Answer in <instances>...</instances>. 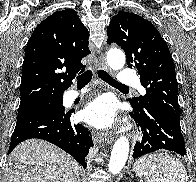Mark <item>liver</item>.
<instances>
[{
	"mask_svg": "<svg viewBox=\"0 0 196 182\" xmlns=\"http://www.w3.org/2000/svg\"><path fill=\"white\" fill-rule=\"evenodd\" d=\"M79 166L69 154L40 139L20 143L8 157L6 182H77Z\"/></svg>",
	"mask_w": 196,
	"mask_h": 182,
	"instance_id": "6515ba94",
	"label": "liver"
}]
</instances>
